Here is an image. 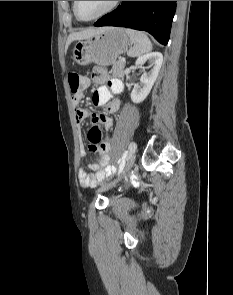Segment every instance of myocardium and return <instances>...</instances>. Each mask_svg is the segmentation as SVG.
<instances>
[{"label":"myocardium","instance_id":"obj_1","mask_svg":"<svg viewBox=\"0 0 233 295\" xmlns=\"http://www.w3.org/2000/svg\"><path fill=\"white\" fill-rule=\"evenodd\" d=\"M121 3V1H113L111 3V5L106 8L104 11H102L101 13H99L98 15L92 17V18H88V19H85V18H82L79 14H78V10H77V4H78V1H74L73 2V11H74V14L76 16V18L80 21H83V22H90V21H94L96 19H99L109 13H111L112 11H114L118 6L119 4Z\"/></svg>","mask_w":233,"mask_h":295}]
</instances>
